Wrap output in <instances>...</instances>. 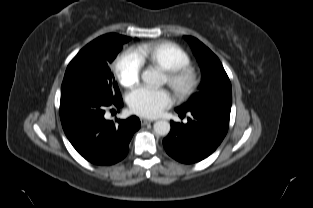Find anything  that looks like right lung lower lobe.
I'll use <instances>...</instances> for the list:
<instances>
[{
    "label": "right lung lower lobe",
    "mask_w": 313,
    "mask_h": 208,
    "mask_svg": "<svg viewBox=\"0 0 313 208\" xmlns=\"http://www.w3.org/2000/svg\"><path fill=\"white\" fill-rule=\"evenodd\" d=\"M123 106L120 98L108 100L75 83L61 87L60 118L63 130L77 152L97 165H111L128 153L129 142L140 128L136 116L117 123L104 118L105 108Z\"/></svg>",
    "instance_id": "obj_1"
}]
</instances>
